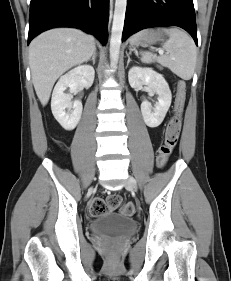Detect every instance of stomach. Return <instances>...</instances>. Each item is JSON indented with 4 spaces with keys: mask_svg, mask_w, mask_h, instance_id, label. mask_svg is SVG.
Returning <instances> with one entry per match:
<instances>
[{
    "mask_svg": "<svg viewBox=\"0 0 231 281\" xmlns=\"http://www.w3.org/2000/svg\"><path fill=\"white\" fill-rule=\"evenodd\" d=\"M160 34L155 31H142L134 35L131 39L134 40L133 45H148L160 40Z\"/></svg>",
    "mask_w": 231,
    "mask_h": 281,
    "instance_id": "obj_1",
    "label": "stomach"
}]
</instances>
